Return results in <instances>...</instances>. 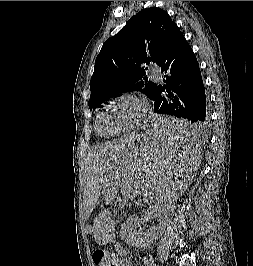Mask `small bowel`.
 Instances as JSON below:
<instances>
[{
	"mask_svg": "<svg viewBox=\"0 0 253 266\" xmlns=\"http://www.w3.org/2000/svg\"><path fill=\"white\" fill-rule=\"evenodd\" d=\"M118 253H120L123 256L129 255V251L123 247H117ZM145 266H154V261L151 257L145 258L144 261ZM119 266H132V263L127 258H122L119 262Z\"/></svg>",
	"mask_w": 253,
	"mask_h": 266,
	"instance_id": "1",
	"label": "small bowel"
}]
</instances>
